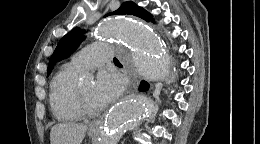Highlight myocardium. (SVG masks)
Wrapping results in <instances>:
<instances>
[{"mask_svg":"<svg viewBox=\"0 0 260 144\" xmlns=\"http://www.w3.org/2000/svg\"><path fill=\"white\" fill-rule=\"evenodd\" d=\"M76 104L81 111V114H84L89 117L98 116L101 112L100 109L93 108L88 101L86 100L81 84H78L76 91Z\"/></svg>","mask_w":260,"mask_h":144,"instance_id":"obj_1","label":"myocardium"}]
</instances>
